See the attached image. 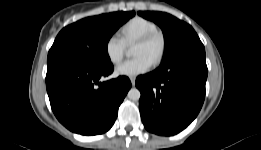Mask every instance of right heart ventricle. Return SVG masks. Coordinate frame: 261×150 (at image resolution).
<instances>
[{
  "mask_svg": "<svg viewBox=\"0 0 261 150\" xmlns=\"http://www.w3.org/2000/svg\"><path fill=\"white\" fill-rule=\"evenodd\" d=\"M156 30H158V26L155 22L136 16L121 26L120 34L125 44H131L141 36Z\"/></svg>",
  "mask_w": 261,
  "mask_h": 150,
  "instance_id": "obj_1",
  "label": "right heart ventricle"
}]
</instances>
